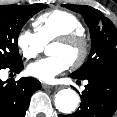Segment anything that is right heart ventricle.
Returning a JSON list of instances; mask_svg holds the SVG:
<instances>
[{"instance_id": "right-heart-ventricle-1", "label": "right heart ventricle", "mask_w": 117, "mask_h": 117, "mask_svg": "<svg viewBox=\"0 0 117 117\" xmlns=\"http://www.w3.org/2000/svg\"><path fill=\"white\" fill-rule=\"evenodd\" d=\"M33 26L44 45L65 34L84 32L81 20L75 14L61 9L39 15L34 20Z\"/></svg>"}]
</instances>
